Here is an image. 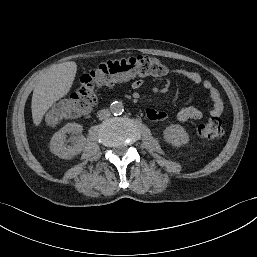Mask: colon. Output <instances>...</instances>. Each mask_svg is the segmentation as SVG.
I'll return each mask as SVG.
<instances>
[{"label": "colon", "instance_id": "colon-1", "mask_svg": "<svg viewBox=\"0 0 257 257\" xmlns=\"http://www.w3.org/2000/svg\"><path fill=\"white\" fill-rule=\"evenodd\" d=\"M164 73L163 63L147 55L103 62L81 76L80 84L71 98L51 108L46 114V120L57 123L85 114L95 105L97 90L102 86L139 77L161 76ZM198 132L204 139H218L224 132L223 122L217 117L207 118L199 124Z\"/></svg>", "mask_w": 257, "mask_h": 257}]
</instances>
